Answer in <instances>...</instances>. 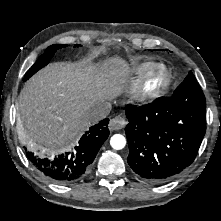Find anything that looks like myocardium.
I'll use <instances>...</instances> for the list:
<instances>
[{"mask_svg": "<svg viewBox=\"0 0 221 221\" xmlns=\"http://www.w3.org/2000/svg\"><path fill=\"white\" fill-rule=\"evenodd\" d=\"M171 83V73L164 66L154 65L137 81L133 95L139 101L159 96Z\"/></svg>", "mask_w": 221, "mask_h": 221, "instance_id": "1", "label": "myocardium"}]
</instances>
